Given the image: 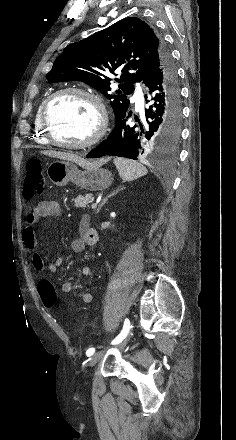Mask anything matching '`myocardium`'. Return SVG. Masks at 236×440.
Masks as SVG:
<instances>
[{
    "label": "myocardium",
    "mask_w": 236,
    "mask_h": 440,
    "mask_svg": "<svg viewBox=\"0 0 236 440\" xmlns=\"http://www.w3.org/2000/svg\"><path fill=\"white\" fill-rule=\"evenodd\" d=\"M68 94H75L86 97L91 101V103L94 105L97 111V117H98L97 127L93 135L89 139L81 143L71 144L56 140L49 126L48 112L52 102L56 98ZM40 124L50 144L64 149H72V150L86 149L97 144L104 136L108 126V113L102 99L95 93L79 87H66L55 91L48 98L45 99L40 113Z\"/></svg>",
    "instance_id": "f54148a6"
}]
</instances>
